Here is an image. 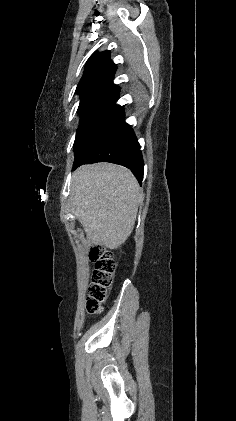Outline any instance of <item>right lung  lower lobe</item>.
Masks as SVG:
<instances>
[{"instance_id":"right-lung-lower-lobe-1","label":"right lung lower lobe","mask_w":236,"mask_h":421,"mask_svg":"<svg viewBox=\"0 0 236 421\" xmlns=\"http://www.w3.org/2000/svg\"><path fill=\"white\" fill-rule=\"evenodd\" d=\"M111 162L129 168L142 182L144 162L131 126L124 122L123 107L113 113L83 142L75 154L73 170L82 164Z\"/></svg>"}]
</instances>
